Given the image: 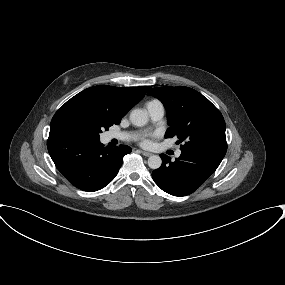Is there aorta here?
Returning a JSON list of instances; mask_svg holds the SVG:
<instances>
[{"mask_svg":"<svg viewBox=\"0 0 285 285\" xmlns=\"http://www.w3.org/2000/svg\"><path fill=\"white\" fill-rule=\"evenodd\" d=\"M148 114L142 109H134L130 114V121L133 125L142 127L148 123ZM162 164V160L158 155H151L148 158V166L151 169H158Z\"/></svg>","mask_w":285,"mask_h":285,"instance_id":"aorta-1","label":"aorta"}]
</instances>
